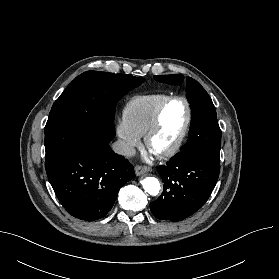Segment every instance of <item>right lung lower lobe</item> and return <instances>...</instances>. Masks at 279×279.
I'll list each match as a JSON object with an SVG mask.
<instances>
[{
	"instance_id": "1",
	"label": "right lung lower lobe",
	"mask_w": 279,
	"mask_h": 279,
	"mask_svg": "<svg viewBox=\"0 0 279 279\" xmlns=\"http://www.w3.org/2000/svg\"><path fill=\"white\" fill-rule=\"evenodd\" d=\"M82 144L71 149L48 175L62 206L74 217L95 221L112 208L119 189L135 177L127 159L114 153L106 128L89 127ZM99 136V137H98Z\"/></svg>"
}]
</instances>
